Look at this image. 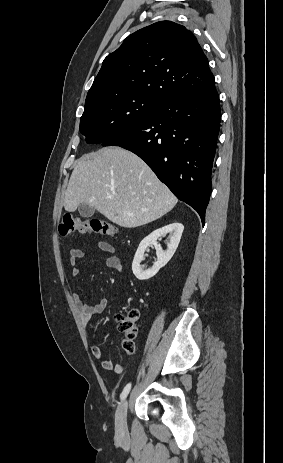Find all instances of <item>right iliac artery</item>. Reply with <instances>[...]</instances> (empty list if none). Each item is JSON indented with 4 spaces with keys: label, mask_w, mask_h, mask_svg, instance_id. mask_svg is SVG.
<instances>
[{
    "label": "right iliac artery",
    "mask_w": 283,
    "mask_h": 463,
    "mask_svg": "<svg viewBox=\"0 0 283 463\" xmlns=\"http://www.w3.org/2000/svg\"><path fill=\"white\" fill-rule=\"evenodd\" d=\"M131 389V383H128L125 388L123 389L121 395H120V398L121 400H124L126 398V396L128 395L129 391Z\"/></svg>",
    "instance_id": "obj_1"
}]
</instances>
